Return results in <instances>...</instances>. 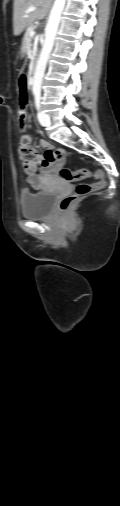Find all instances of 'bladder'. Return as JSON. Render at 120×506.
I'll return each mask as SVG.
<instances>
[{
	"label": "bladder",
	"mask_w": 120,
	"mask_h": 506,
	"mask_svg": "<svg viewBox=\"0 0 120 506\" xmlns=\"http://www.w3.org/2000/svg\"><path fill=\"white\" fill-rule=\"evenodd\" d=\"M56 194L51 191H24L20 194L21 213L29 219H42L50 215Z\"/></svg>",
	"instance_id": "obj_1"
}]
</instances>
